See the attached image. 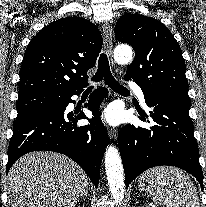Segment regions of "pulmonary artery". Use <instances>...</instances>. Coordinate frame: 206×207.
Wrapping results in <instances>:
<instances>
[{"label": "pulmonary artery", "instance_id": "pulmonary-artery-1", "mask_svg": "<svg viewBox=\"0 0 206 207\" xmlns=\"http://www.w3.org/2000/svg\"><path fill=\"white\" fill-rule=\"evenodd\" d=\"M131 88L133 89L137 97L139 98L140 102L145 104V96H144V92L142 91L141 87H139L136 84H131Z\"/></svg>", "mask_w": 206, "mask_h": 207}]
</instances>
